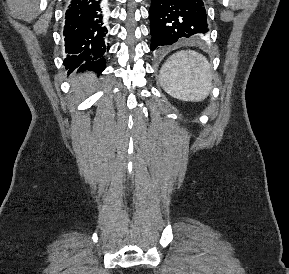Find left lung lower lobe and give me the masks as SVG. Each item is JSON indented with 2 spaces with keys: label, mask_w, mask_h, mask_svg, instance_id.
I'll return each mask as SVG.
<instances>
[{
  "label": "left lung lower lobe",
  "mask_w": 289,
  "mask_h": 274,
  "mask_svg": "<svg viewBox=\"0 0 289 274\" xmlns=\"http://www.w3.org/2000/svg\"><path fill=\"white\" fill-rule=\"evenodd\" d=\"M149 16L152 51L201 39L209 30L203 0H152Z\"/></svg>",
  "instance_id": "1"
}]
</instances>
